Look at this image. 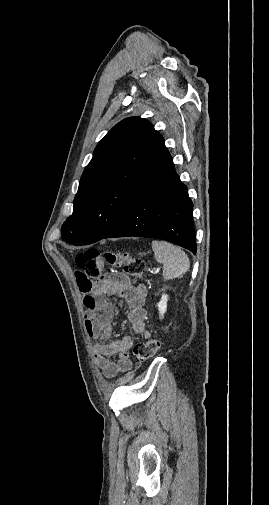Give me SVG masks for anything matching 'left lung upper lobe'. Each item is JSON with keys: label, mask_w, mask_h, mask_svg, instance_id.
I'll use <instances>...</instances> for the list:
<instances>
[{"label": "left lung upper lobe", "mask_w": 269, "mask_h": 505, "mask_svg": "<svg viewBox=\"0 0 269 505\" xmlns=\"http://www.w3.org/2000/svg\"><path fill=\"white\" fill-rule=\"evenodd\" d=\"M159 137L153 125L130 117L115 125L96 146L63 223L62 237L87 245L110 232L127 205Z\"/></svg>", "instance_id": "5c2ea615"}]
</instances>
